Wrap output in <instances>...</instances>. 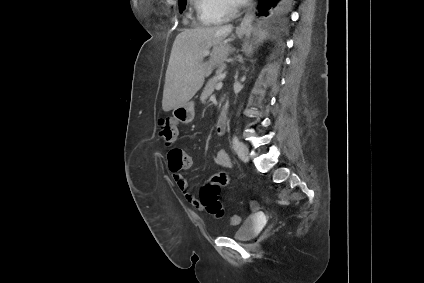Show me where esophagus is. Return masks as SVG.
I'll use <instances>...</instances> for the list:
<instances>
[{"mask_svg":"<svg viewBox=\"0 0 424 283\" xmlns=\"http://www.w3.org/2000/svg\"><path fill=\"white\" fill-rule=\"evenodd\" d=\"M253 7H254V4H252L250 8L248 9V11L246 12L241 24L237 28L238 31H246L251 29L252 21H253Z\"/></svg>","mask_w":424,"mask_h":283,"instance_id":"1","label":"esophagus"}]
</instances>
